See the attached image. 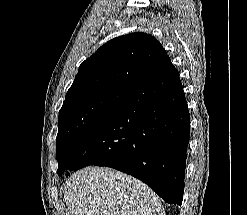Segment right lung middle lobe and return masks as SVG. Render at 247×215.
<instances>
[{
  "label": "right lung middle lobe",
  "mask_w": 247,
  "mask_h": 215,
  "mask_svg": "<svg viewBox=\"0 0 247 215\" xmlns=\"http://www.w3.org/2000/svg\"><path fill=\"white\" fill-rule=\"evenodd\" d=\"M131 92L120 88H91L66 94L59 111L56 138L59 176L68 170L69 157L78 140L86 131L115 112Z\"/></svg>",
  "instance_id": "1"
}]
</instances>
